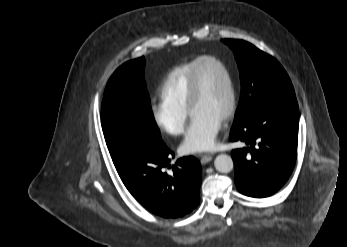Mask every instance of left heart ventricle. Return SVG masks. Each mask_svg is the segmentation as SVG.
<instances>
[{
  "label": "left heart ventricle",
  "mask_w": 347,
  "mask_h": 247,
  "mask_svg": "<svg viewBox=\"0 0 347 247\" xmlns=\"http://www.w3.org/2000/svg\"><path fill=\"white\" fill-rule=\"evenodd\" d=\"M200 95L191 115L205 114L219 119L227 110L229 88L222 69L212 62H203L198 69Z\"/></svg>",
  "instance_id": "left-heart-ventricle-1"
}]
</instances>
